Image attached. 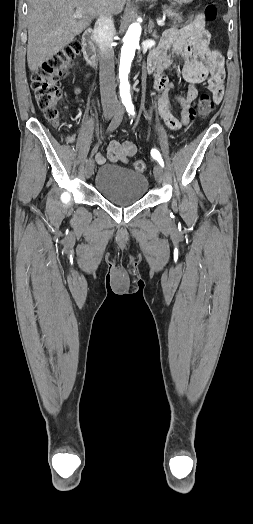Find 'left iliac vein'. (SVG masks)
I'll list each match as a JSON object with an SVG mask.
<instances>
[{
  "label": "left iliac vein",
  "mask_w": 253,
  "mask_h": 524,
  "mask_svg": "<svg viewBox=\"0 0 253 524\" xmlns=\"http://www.w3.org/2000/svg\"><path fill=\"white\" fill-rule=\"evenodd\" d=\"M121 106L118 108L120 109ZM154 177L156 179V181L161 184L163 182V179H164V171H163V168L157 164L155 165L154 167Z\"/></svg>",
  "instance_id": "left-iliac-vein-1"
}]
</instances>
